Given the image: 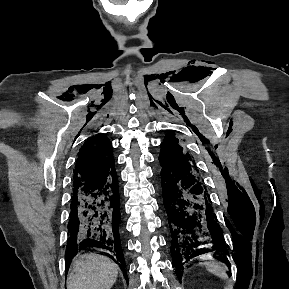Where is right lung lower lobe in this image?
<instances>
[{
  "label": "right lung lower lobe",
  "mask_w": 289,
  "mask_h": 289,
  "mask_svg": "<svg viewBox=\"0 0 289 289\" xmlns=\"http://www.w3.org/2000/svg\"><path fill=\"white\" fill-rule=\"evenodd\" d=\"M121 234L120 198L115 170L73 188L65 253L67 269L80 250L98 248L106 251V255L120 266L128 282Z\"/></svg>",
  "instance_id": "1"
}]
</instances>
